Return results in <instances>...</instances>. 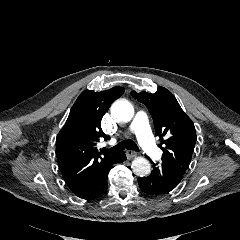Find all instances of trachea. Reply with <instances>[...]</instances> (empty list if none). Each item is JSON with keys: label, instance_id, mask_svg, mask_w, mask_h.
<instances>
[{"label": "trachea", "instance_id": "3493384b", "mask_svg": "<svg viewBox=\"0 0 240 240\" xmlns=\"http://www.w3.org/2000/svg\"><path fill=\"white\" fill-rule=\"evenodd\" d=\"M125 148L127 149H133V150H138V146L132 142V141H125L118 143L116 146L110 148V149H102L101 152L104 153L105 155H110L116 152H120L124 150Z\"/></svg>", "mask_w": 240, "mask_h": 240}]
</instances>
